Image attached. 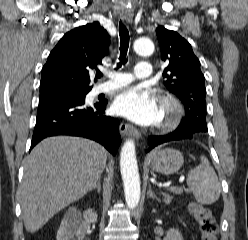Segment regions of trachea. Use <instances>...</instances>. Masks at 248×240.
<instances>
[{"instance_id":"trachea-1","label":"trachea","mask_w":248,"mask_h":240,"mask_svg":"<svg viewBox=\"0 0 248 240\" xmlns=\"http://www.w3.org/2000/svg\"><path fill=\"white\" fill-rule=\"evenodd\" d=\"M119 35H120V57L118 67L121 66L122 63L126 62V55L129 47V31L127 27L120 21L119 23ZM98 78L102 76L100 72L96 74Z\"/></svg>"}]
</instances>
